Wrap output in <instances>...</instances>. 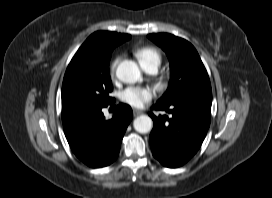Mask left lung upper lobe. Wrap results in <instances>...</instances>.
I'll return each mask as SVG.
<instances>
[{"mask_svg": "<svg viewBox=\"0 0 272 198\" xmlns=\"http://www.w3.org/2000/svg\"><path fill=\"white\" fill-rule=\"evenodd\" d=\"M147 37L166 52L170 62L169 86L158 103L195 101L211 104L210 80L193 45L168 33L149 34Z\"/></svg>", "mask_w": 272, "mask_h": 198, "instance_id": "left-lung-upper-lobe-1", "label": "left lung upper lobe"}]
</instances>
